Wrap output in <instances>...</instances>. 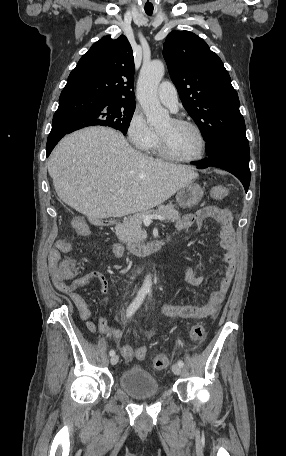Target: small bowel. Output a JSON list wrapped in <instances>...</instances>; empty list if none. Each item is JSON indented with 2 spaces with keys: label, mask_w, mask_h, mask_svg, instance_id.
Returning a JSON list of instances; mask_svg holds the SVG:
<instances>
[{
  "label": "small bowel",
  "mask_w": 286,
  "mask_h": 456,
  "mask_svg": "<svg viewBox=\"0 0 286 456\" xmlns=\"http://www.w3.org/2000/svg\"><path fill=\"white\" fill-rule=\"evenodd\" d=\"M232 219V213L228 208L206 206L200 208L195 213L183 215L177 220L176 229L178 232H183L192 228L201 229L204 224L210 220L219 223L221 225V245L226 251L223 259L226 264V269L218 289L211 294L207 302L200 305L164 304L161 306V312L163 314L172 318L196 320L216 313L229 290L236 269L238 250L234 229L232 227ZM73 245L74 242L71 239L65 238L59 240L57 249L51 251L49 261L52 282L57 290L68 295L80 317L87 321V328L89 331L94 332L98 327L102 333L110 336L118 343L123 335L122 330L111 327L103 316L98 318L97 325L91 321V311L85 299L75 291L77 287L96 283L98 285V293L104 295L108 291V282L106 278L99 272L93 271L76 280L73 285H68L65 282L58 281L54 276V268L59 262L60 253L70 251L73 248ZM107 250L116 258H122L125 254L123 246L116 243L108 245ZM185 277L187 282L194 287L199 286L204 282V277L198 274L194 268L188 269ZM120 351L126 360H131L133 358L134 349L130 345L120 346Z\"/></svg>",
  "instance_id": "c3829d8e"
}]
</instances>
